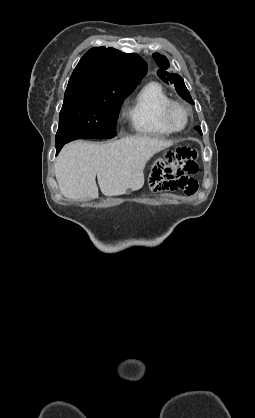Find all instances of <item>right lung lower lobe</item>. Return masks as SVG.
<instances>
[{
  "label": "right lung lower lobe",
  "instance_id": "1",
  "mask_svg": "<svg viewBox=\"0 0 255 418\" xmlns=\"http://www.w3.org/2000/svg\"><path fill=\"white\" fill-rule=\"evenodd\" d=\"M65 144H66V142L56 143V150H57V153H56V154H58V153H59V151L61 150V148H62Z\"/></svg>",
  "mask_w": 255,
  "mask_h": 418
}]
</instances>
